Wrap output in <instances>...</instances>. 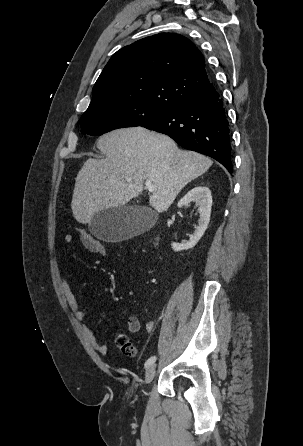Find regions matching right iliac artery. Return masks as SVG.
I'll use <instances>...</instances> for the list:
<instances>
[{"instance_id":"right-iliac-artery-1","label":"right iliac artery","mask_w":303,"mask_h":446,"mask_svg":"<svg viewBox=\"0 0 303 446\" xmlns=\"http://www.w3.org/2000/svg\"><path fill=\"white\" fill-rule=\"evenodd\" d=\"M155 361H156V356L150 357L145 363V368L151 366Z\"/></svg>"}]
</instances>
